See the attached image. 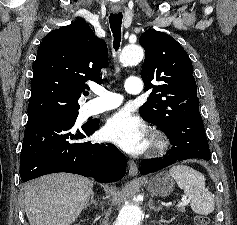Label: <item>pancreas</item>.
<instances>
[{"label": "pancreas", "mask_w": 237, "mask_h": 225, "mask_svg": "<svg viewBox=\"0 0 237 225\" xmlns=\"http://www.w3.org/2000/svg\"><path fill=\"white\" fill-rule=\"evenodd\" d=\"M178 211H180V212H184L185 209H184V207H182V208H180Z\"/></svg>", "instance_id": "pancreas-1"}]
</instances>
